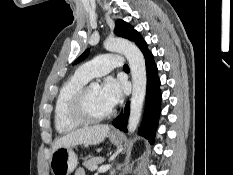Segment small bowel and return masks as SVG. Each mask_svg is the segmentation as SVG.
Wrapping results in <instances>:
<instances>
[{
    "label": "small bowel",
    "mask_w": 233,
    "mask_h": 175,
    "mask_svg": "<svg viewBox=\"0 0 233 175\" xmlns=\"http://www.w3.org/2000/svg\"><path fill=\"white\" fill-rule=\"evenodd\" d=\"M74 175H86L84 169L78 168L75 170Z\"/></svg>",
    "instance_id": "obj_1"
}]
</instances>
